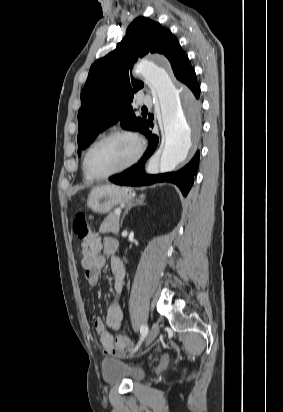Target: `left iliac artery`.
<instances>
[{
	"mask_svg": "<svg viewBox=\"0 0 283 412\" xmlns=\"http://www.w3.org/2000/svg\"><path fill=\"white\" fill-rule=\"evenodd\" d=\"M140 333H141V338H140V341L137 344L136 348L134 349V351L138 349V347L140 346V344L143 341L144 337L147 335L148 327L146 325H142L141 328H140Z\"/></svg>",
	"mask_w": 283,
	"mask_h": 412,
	"instance_id": "left-iliac-artery-1",
	"label": "left iliac artery"
}]
</instances>
